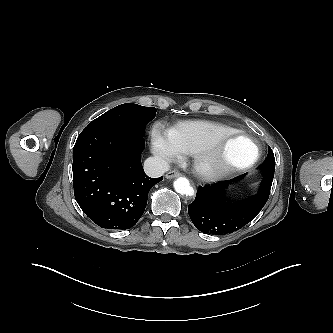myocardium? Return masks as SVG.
<instances>
[{
  "label": "myocardium",
  "mask_w": 333,
  "mask_h": 333,
  "mask_svg": "<svg viewBox=\"0 0 333 333\" xmlns=\"http://www.w3.org/2000/svg\"><path fill=\"white\" fill-rule=\"evenodd\" d=\"M242 139L254 148V154L243 163L227 161L223 156L224 145L231 140ZM193 156V169L204 180L214 181L251 168L260 157L258 144L246 133L233 131L216 137L204 148L198 150Z\"/></svg>",
  "instance_id": "obj_1"
}]
</instances>
